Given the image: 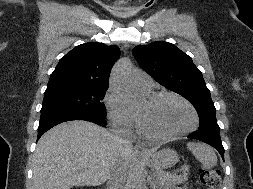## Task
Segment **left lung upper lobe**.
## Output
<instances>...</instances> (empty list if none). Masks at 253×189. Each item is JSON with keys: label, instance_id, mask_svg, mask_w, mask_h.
<instances>
[{"label": "left lung upper lobe", "instance_id": "left-lung-upper-lobe-1", "mask_svg": "<svg viewBox=\"0 0 253 189\" xmlns=\"http://www.w3.org/2000/svg\"><path fill=\"white\" fill-rule=\"evenodd\" d=\"M132 53L155 81L192 103L200 117L199 128H219L210 91L190 56L168 42L137 46Z\"/></svg>", "mask_w": 253, "mask_h": 189}]
</instances>
